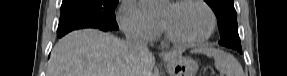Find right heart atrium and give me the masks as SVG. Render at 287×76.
<instances>
[{
    "label": "right heart atrium",
    "instance_id": "d8ad5b80",
    "mask_svg": "<svg viewBox=\"0 0 287 76\" xmlns=\"http://www.w3.org/2000/svg\"><path fill=\"white\" fill-rule=\"evenodd\" d=\"M118 22L127 35L142 41L156 39L161 31L159 21L147 16L133 1L123 3L118 14Z\"/></svg>",
    "mask_w": 287,
    "mask_h": 76
}]
</instances>
